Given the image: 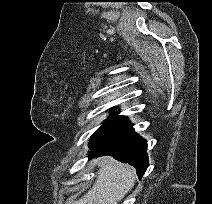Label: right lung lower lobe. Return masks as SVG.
<instances>
[{"instance_id": "1", "label": "right lung lower lobe", "mask_w": 212, "mask_h": 204, "mask_svg": "<svg viewBox=\"0 0 212 204\" xmlns=\"http://www.w3.org/2000/svg\"><path fill=\"white\" fill-rule=\"evenodd\" d=\"M146 150V140L137 135L132 125H129L110 140L92 147L90 156L111 155L123 163L134 166L137 175L142 177L148 167Z\"/></svg>"}]
</instances>
